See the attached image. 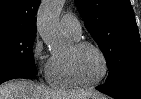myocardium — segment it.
Listing matches in <instances>:
<instances>
[{"mask_svg": "<svg viewBox=\"0 0 141 99\" xmlns=\"http://www.w3.org/2000/svg\"><path fill=\"white\" fill-rule=\"evenodd\" d=\"M85 47H91V48L95 49L99 53V55H100V57L102 59L103 72H102V75L97 80L92 81V82H86V81H83L79 77V75L77 73V70H76L73 55L67 56L66 57V62H67L70 77L73 80V82L77 86L91 88V87H95V86L99 85L101 82L104 81V79L106 78V76H107V74L109 72V63H108V58H107L104 50L98 44H96L94 42L86 41V40L78 41V42H76L74 44V46L72 48H73V52L76 53L77 51H79V50H81V49H83Z\"/></svg>", "mask_w": 141, "mask_h": 99, "instance_id": "f54148a6", "label": "myocardium"}]
</instances>
